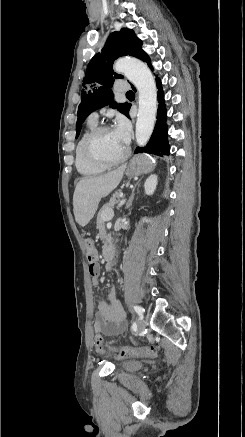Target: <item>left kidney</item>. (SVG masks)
<instances>
[{"label":"left kidney","instance_id":"obj_1","mask_svg":"<svg viewBox=\"0 0 245 437\" xmlns=\"http://www.w3.org/2000/svg\"><path fill=\"white\" fill-rule=\"evenodd\" d=\"M157 175H150L144 184L145 193L147 195H152L156 189L157 186Z\"/></svg>","mask_w":245,"mask_h":437}]
</instances>
